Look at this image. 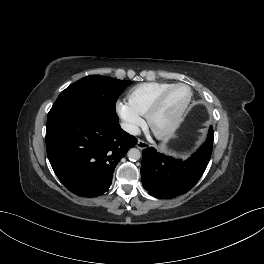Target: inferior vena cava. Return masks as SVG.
<instances>
[{"instance_id":"602c4592","label":"inferior vena cava","mask_w":264,"mask_h":264,"mask_svg":"<svg viewBox=\"0 0 264 264\" xmlns=\"http://www.w3.org/2000/svg\"><path fill=\"white\" fill-rule=\"evenodd\" d=\"M121 128L131 135L136 136L140 134V129L135 124H132V123L122 122Z\"/></svg>"}]
</instances>
